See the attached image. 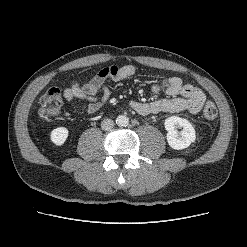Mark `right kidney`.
<instances>
[{
  "label": "right kidney",
  "instance_id": "ca27d5eb",
  "mask_svg": "<svg viewBox=\"0 0 247 247\" xmlns=\"http://www.w3.org/2000/svg\"><path fill=\"white\" fill-rule=\"evenodd\" d=\"M68 134H69V131L67 128L58 127L56 129L52 130L51 135H50V139L55 145L61 146L67 140Z\"/></svg>",
  "mask_w": 247,
  "mask_h": 247
}]
</instances>
